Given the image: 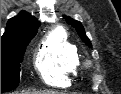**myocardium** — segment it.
I'll return each mask as SVG.
<instances>
[{
    "instance_id": "myocardium-1",
    "label": "myocardium",
    "mask_w": 121,
    "mask_h": 94,
    "mask_svg": "<svg viewBox=\"0 0 121 94\" xmlns=\"http://www.w3.org/2000/svg\"><path fill=\"white\" fill-rule=\"evenodd\" d=\"M91 66H92V62L91 61H88V60L83 61L82 64H81V67L83 69H89Z\"/></svg>"
}]
</instances>
